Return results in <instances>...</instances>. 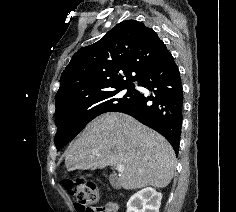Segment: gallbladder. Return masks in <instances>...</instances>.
<instances>
[{
    "mask_svg": "<svg viewBox=\"0 0 236 212\" xmlns=\"http://www.w3.org/2000/svg\"><path fill=\"white\" fill-rule=\"evenodd\" d=\"M111 183L115 186H119V182H118V179L116 177H111L110 179Z\"/></svg>",
    "mask_w": 236,
    "mask_h": 212,
    "instance_id": "1",
    "label": "gallbladder"
}]
</instances>
